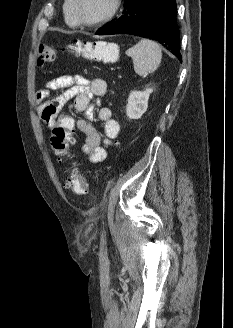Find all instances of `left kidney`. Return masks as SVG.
I'll use <instances>...</instances> for the list:
<instances>
[{
    "instance_id": "1",
    "label": "left kidney",
    "mask_w": 233,
    "mask_h": 328,
    "mask_svg": "<svg viewBox=\"0 0 233 328\" xmlns=\"http://www.w3.org/2000/svg\"><path fill=\"white\" fill-rule=\"evenodd\" d=\"M152 88H146L144 91H132L128 97L126 105V114L129 119H140L148 107V99L152 93Z\"/></svg>"
}]
</instances>
